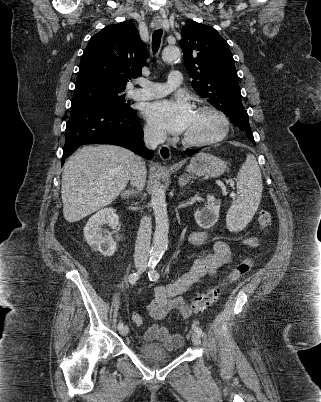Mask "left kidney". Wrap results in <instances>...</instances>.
Listing matches in <instances>:
<instances>
[{"label":"left kidney","mask_w":321,"mask_h":402,"mask_svg":"<svg viewBox=\"0 0 321 402\" xmlns=\"http://www.w3.org/2000/svg\"><path fill=\"white\" fill-rule=\"evenodd\" d=\"M207 207L195 212L194 217L197 224L204 229H208L216 224L219 219L220 201L213 195L207 196Z\"/></svg>","instance_id":"left-kidney-1"}]
</instances>
